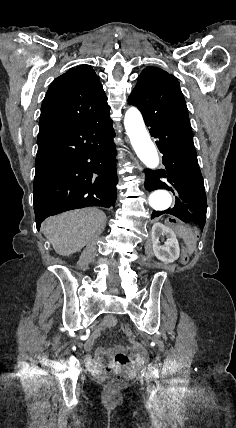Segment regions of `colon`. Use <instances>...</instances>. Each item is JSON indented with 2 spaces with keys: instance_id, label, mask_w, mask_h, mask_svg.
<instances>
[{
  "instance_id": "obj_1",
  "label": "colon",
  "mask_w": 236,
  "mask_h": 428,
  "mask_svg": "<svg viewBox=\"0 0 236 428\" xmlns=\"http://www.w3.org/2000/svg\"><path fill=\"white\" fill-rule=\"evenodd\" d=\"M125 334L130 337L132 331L129 327H124ZM128 381V376L124 373H114L108 378V386L111 390H118Z\"/></svg>"
}]
</instances>
